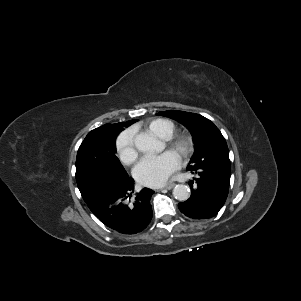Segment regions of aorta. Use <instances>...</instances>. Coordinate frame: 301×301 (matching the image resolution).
I'll return each mask as SVG.
<instances>
[{
	"label": "aorta",
	"instance_id": "aorta-1",
	"mask_svg": "<svg viewBox=\"0 0 301 301\" xmlns=\"http://www.w3.org/2000/svg\"><path fill=\"white\" fill-rule=\"evenodd\" d=\"M156 141L147 134L141 133L135 137V146L139 151H152L155 148ZM173 196L179 201H186L190 197L188 186L179 184L173 189Z\"/></svg>",
	"mask_w": 301,
	"mask_h": 301
}]
</instances>
